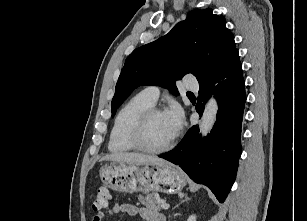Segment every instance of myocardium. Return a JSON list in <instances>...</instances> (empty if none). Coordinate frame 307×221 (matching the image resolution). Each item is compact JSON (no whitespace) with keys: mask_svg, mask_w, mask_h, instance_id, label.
<instances>
[{"mask_svg":"<svg viewBox=\"0 0 307 221\" xmlns=\"http://www.w3.org/2000/svg\"><path fill=\"white\" fill-rule=\"evenodd\" d=\"M165 113V110L159 107L152 106L144 110L136 119L130 134V140L134 148L139 151L149 154H159L171 149L176 141L177 134H175L166 144L160 147H151L145 142V133L151 118L158 114Z\"/></svg>","mask_w":307,"mask_h":221,"instance_id":"f54148a6","label":"myocardium"}]
</instances>
